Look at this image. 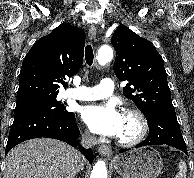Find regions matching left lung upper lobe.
<instances>
[{
    "label": "left lung upper lobe",
    "mask_w": 194,
    "mask_h": 178,
    "mask_svg": "<svg viewBox=\"0 0 194 178\" xmlns=\"http://www.w3.org/2000/svg\"><path fill=\"white\" fill-rule=\"evenodd\" d=\"M116 50L114 72L129 83L123 94L145 114L157 108H174L163 59L153 44L128 27L119 26L111 39Z\"/></svg>",
    "instance_id": "obj_1"
}]
</instances>
